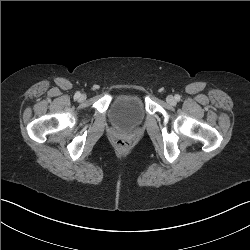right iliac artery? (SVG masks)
<instances>
[{"label":"right iliac artery","instance_id":"right-iliac-artery-1","mask_svg":"<svg viewBox=\"0 0 250 250\" xmlns=\"http://www.w3.org/2000/svg\"><path fill=\"white\" fill-rule=\"evenodd\" d=\"M80 95H81L80 92H76V93H75V98H76V99L79 98Z\"/></svg>","mask_w":250,"mask_h":250}]
</instances>
